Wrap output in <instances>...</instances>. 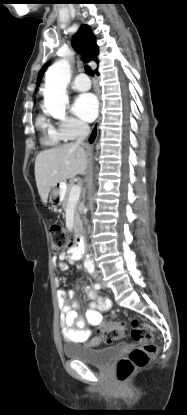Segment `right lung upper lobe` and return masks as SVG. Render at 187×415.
<instances>
[{
	"mask_svg": "<svg viewBox=\"0 0 187 415\" xmlns=\"http://www.w3.org/2000/svg\"><path fill=\"white\" fill-rule=\"evenodd\" d=\"M73 47L76 50L81 51L85 55L86 62L95 61L98 63V47L95 42V37L91 33L87 25H82L78 32L73 36L72 39ZM48 64H46L39 73L38 82L41 79L43 72L45 71Z\"/></svg>",
	"mask_w": 187,
	"mask_h": 415,
	"instance_id": "cb5924a9",
	"label": "right lung upper lobe"
}]
</instances>
